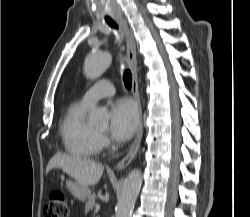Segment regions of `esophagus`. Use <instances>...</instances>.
<instances>
[{
    "label": "esophagus",
    "instance_id": "34e87169",
    "mask_svg": "<svg viewBox=\"0 0 250 217\" xmlns=\"http://www.w3.org/2000/svg\"><path fill=\"white\" fill-rule=\"evenodd\" d=\"M120 24V28L122 33L124 34L126 38V55L129 62V66L132 73V94L134 97V100L136 102L138 112H139V127L136 134V137L133 141V143L130 146V149L126 156L116 165V170H122L126 168L131 161L134 159L135 155L138 152V149L141 144L142 136H143V116H142V107H141V101H140V95L138 90V75H137V57H136V42L134 35L132 31L129 29L127 22L124 19L118 20Z\"/></svg>",
    "mask_w": 250,
    "mask_h": 217
}]
</instances>
